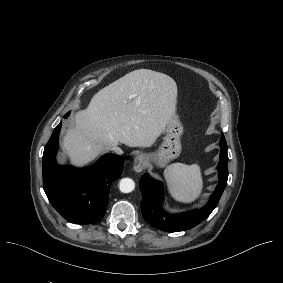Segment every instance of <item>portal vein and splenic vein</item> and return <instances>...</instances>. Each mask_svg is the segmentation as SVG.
I'll return each mask as SVG.
<instances>
[{"mask_svg": "<svg viewBox=\"0 0 283 283\" xmlns=\"http://www.w3.org/2000/svg\"><path fill=\"white\" fill-rule=\"evenodd\" d=\"M136 96H137L136 94H132V95L129 96V98L131 99V98H134Z\"/></svg>", "mask_w": 283, "mask_h": 283, "instance_id": "obj_1", "label": "portal vein and splenic vein"}]
</instances>
